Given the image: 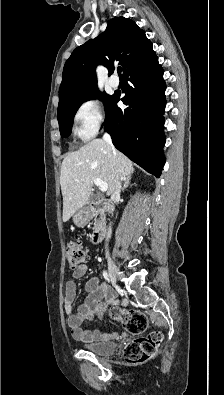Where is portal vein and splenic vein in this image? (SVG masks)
Segmentation results:
<instances>
[{
    "instance_id": "1",
    "label": "portal vein and splenic vein",
    "mask_w": 224,
    "mask_h": 395,
    "mask_svg": "<svg viewBox=\"0 0 224 395\" xmlns=\"http://www.w3.org/2000/svg\"><path fill=\"white\" fill-rule=\"evenodd\" d=\"M94 184L96 185V186H98V189L101 191V192H106L107 191V189H108V185H107V183L106 182H104V181H102L101 179H94Z\"/></svg>"
}]
</instances>
